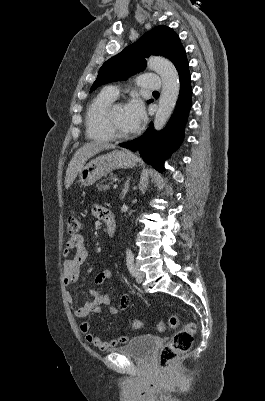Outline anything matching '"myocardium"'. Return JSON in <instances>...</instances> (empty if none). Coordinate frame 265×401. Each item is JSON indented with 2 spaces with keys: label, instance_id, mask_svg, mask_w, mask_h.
Listing matches in <instances>:
<instances>
[{
  "label": "myocardium",
  "instance_id": "f54148a6",
  "mask_svg": "<svg viewBox=\"0 0 265 401\" xmlns=\"http://www.w3.org/2000/svg\"><path fill=\"white\" fill-rule=\"evenodd\" d=\"M122 105L120 102H113L108 109L105 111L104 116L102 118V125L106 132L108 133L110 139H129L132 136V132L127 135L118 134L113 126V115L117 106Z\"/></svg>",
  "mask_w": 265,
  "mask_h": 401
}]
</instances>
